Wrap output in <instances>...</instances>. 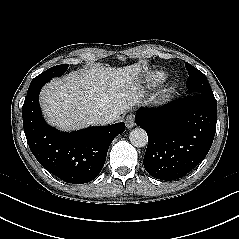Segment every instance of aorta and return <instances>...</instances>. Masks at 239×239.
<instances>
[{"label":"aorta","mask_w":239,"mask_h":239,"mask_svg":"<svg viewBox=\"0 0 239 239\" xmlns=\"http://www.w3.org/2000/svg\"><path fill=\"white\" fill-rule=\"evenodd\" d=\"M130 142L135 147H144L148 143V136L144 129L135 128L130 132Z\"/></svg>","instance_id":"1"}]
</instances>
